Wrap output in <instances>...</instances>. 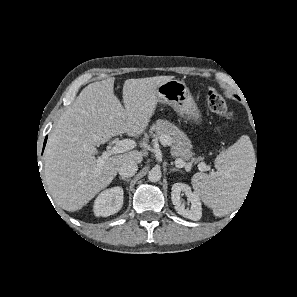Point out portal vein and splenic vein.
I'll use <instances>...</instances> for the list:
<instances>
[{
	"mask_svg": "<svg viewBox=\"0 0 297 297\" xmlns=\"http://www.w3.org/2000/svg\"><path fill=\"white\" fill-rule=\"evenodd\" d=\"M159 141L161 142L162 145L164 146H169L170 141L168 140L167 135H161L159 137ZM135 147V142L131 139H124L121 141H118L112 148L111 150L107 152H103V154L97 159L98 165H103L105 160L107 159L108 156L111 154H119V153H124L126 151H129ZM176 164L180 165L181 167H184L186 171H190L192 164L191 163H185L184 160L182 159H177L175 161ZM198 169L201 171L209 170L208 166H206L204 163H199L198 164Z\"/></svg>",
	"mask_w": 297,
	"mask_h": 297,
	"instance_id": "obj_1",
	"label": "portal vein and splenic vein"
}]
</instances>
